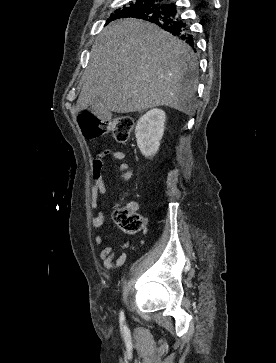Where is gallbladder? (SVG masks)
Returning <instances> with one entry per match:
<instances>
[{
	"instance_id": "bac80fb5",
	"label": "gallbladder",
	"mask_w": 276,
	"mask_h": 363,
	"mask_svg": "<svg viewBox=\"0 0 276 363\" xmlns=\"http://www.w3.org/2000/svg\"><path fill=\"white\" fill-rule=\"evenodd\" d=\"M92 114L96 115L100 120H109L111 118V111L105 108L103 99L97 97L94 103L89 107Z\"/></svg>"
}]
</instances>
